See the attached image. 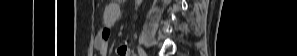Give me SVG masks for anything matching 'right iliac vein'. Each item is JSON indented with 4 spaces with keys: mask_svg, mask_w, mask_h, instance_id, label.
<instances>
[{
    "mask_svg": "<svg viewBox=\"0 0 297 56\" xmlns=\"http://www.w3.org/2000/svg\"><path fill=\"white\" fill-rule=\"evenodd\" d=\"M138 53L140 56H147L146 52L142 48H138Z\"/></svg>",
    "mask_w": 297,
    "mask_h": 56,
    "instance_id": "1",
    "label": "right iliac vein"
}]
</instances>
